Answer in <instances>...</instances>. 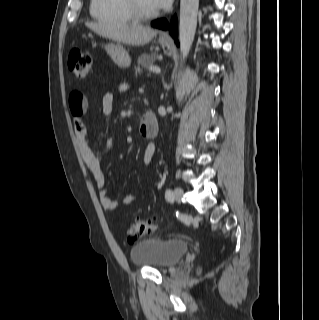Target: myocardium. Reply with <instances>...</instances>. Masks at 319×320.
Here are the masks:
<instances>
[{
    "label": "myocardium",
    "mask_w": 319,
    "mask_h": 320,
    "mask_svg": "<svg viewBox=\"0 0 319 320\" xmlns=\"http://www.w3.org/2000/svg\"><path fill=\"white\" fill-rule=\"evenodd\" d=\"M127 9L132 15L133 19L137 21H146L155 18L159 15L157 10L145 11L139 4L138 0H125Z\"/></svg>",
    "instance_id": "1"
}]
</instances>
